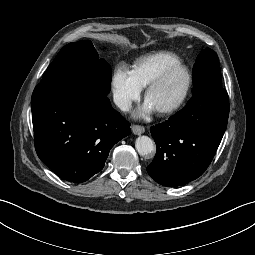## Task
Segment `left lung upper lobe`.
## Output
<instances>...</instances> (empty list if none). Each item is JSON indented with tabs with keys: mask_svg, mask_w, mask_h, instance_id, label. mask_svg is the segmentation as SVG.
<instances>
[{
	"mask_svg": "<svg viewBox=\"0 0 255 255\" xmlns=\"http://www.w3.org/2000/svg\"><path fill=\"white\" fill-rule=\"evenodd\" d=\"M195 81L194 92L209 82L222 85L219 59L211 49L203 50L197 57L193 66Z\"/></svg>",
	"mask_w": 255,
	"mask_h": 255,
	"instance_id": "left-lung-upper-lobe-1",
	"label": "left lung upper lobe"
}]
</instances>
